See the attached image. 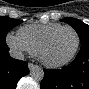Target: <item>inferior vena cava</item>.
<instances>
[{
  "instance_id": "inferior-vena-cava-1",
  "label": "inferior vena cava",
  "mask_w": 89,
  "mask_h": 89,
  "mask_svg": "<svg viewBox=\"0 0 89 89\" xmlns=\"http://www.w3.org/2000/svg\"><path fill=\"white\" fill-rule=\"evenodd\" d=\"M10 56L12 58L18 59V60H23L24 59V55L22 54V52L17 51V50H10Z\"/></svg>"
}]
</instances>
